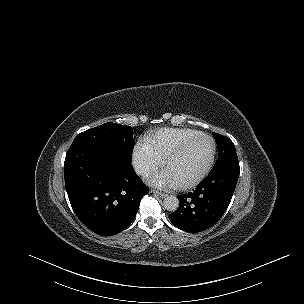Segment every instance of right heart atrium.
Instances as JSON below:
<instances>
[{"label":"right heart atrium","instance_id":"1","mask_svg":"<svg viewBox=\"0 0 304 304\" xmlns=\"http://www.w3.org/2000/svg\"><path fill=\"white\" fill-rule=\"evenodd\" d=\"M132 161L135 169L142 175L155 172L160 167V159L151 151L147 143L139 142L134 147Z\"/></svg>","mask_w":304,"mask_h":304}]
</instances>
